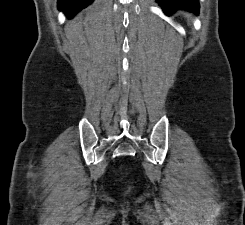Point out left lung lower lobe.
Returning <instances> with one entry per match:
<instances>
[{"label":"left lung lower lobe","instance_id":"0a47b994","mask_svg":"<svg viewBox=\"0 0 245 225\" xmlns=\"http://www.w3.org/2000/svg\"><path fill=\"white\" fill-rule=\"evenodd\" d=\"M166 14H172L176 10L185 9L194 13H198V0H156Z\"/></svg>","mask_w":245,"mask_h":225}]
</instances>
